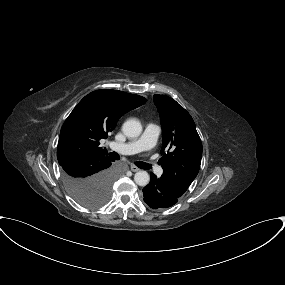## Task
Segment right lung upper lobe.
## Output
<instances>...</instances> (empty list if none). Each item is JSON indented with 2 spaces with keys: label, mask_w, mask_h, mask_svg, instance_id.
<instances>
[{
  "label": "right lung upper lobe",
  "mask_w": 285,
  "mask_h": 285,
  "mask_svg": "<svg viewBox=\"0 0 285 285\" xmlns=\"http://www.w3.org/2000/svg\"><path fill=\"white\" fill-rule=\"evenodd\" d=\"M139 95L117 90H96L85 96L64 122L58 147L60 165L91 154H107L99 141L114 130L118 119L144 103Z\"/></svg>",
  "instance_id": "obj_1"
}]
</instances>
